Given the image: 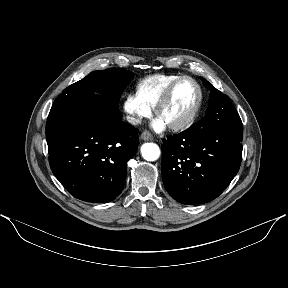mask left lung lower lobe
Segmentation results:
<instances>
[{"instance_id":"0a47b994","label":"left lung lower lobe","mask_w":288,"mask_h":288,"mask_svg":"<svg viewBox=\"0 0 288 288\" xmlns=\"http://www.w3.org/2000/svg\"><path fill=\"white\" fill-rule=\"evenodd\" d=\"M241 142L231 133L200 125L164 139L162 178L167 192L183 204L217 198L240 168Z\"/></svg>"}]
</instances>
